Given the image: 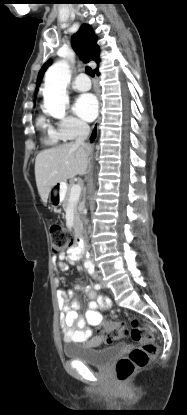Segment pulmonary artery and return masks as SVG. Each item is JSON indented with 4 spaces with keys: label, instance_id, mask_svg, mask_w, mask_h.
<instances>
[{
    "label": "pulmonary artery",
    "instance_id": "e3ab8cb5",
    "mask_svg": "<svg viewBox=\"0 0 187 415\" xmlns=\"http://www.w3.org/2000/svg\"><path fill=\"white\" fill-rule=\"evenodd\" d=\"M76 91H87L91 88V82L85 74H79L72 83Z\"/></svg>",
    "mask_w": 187,
    "mask_h": 415
}]
</instances>
